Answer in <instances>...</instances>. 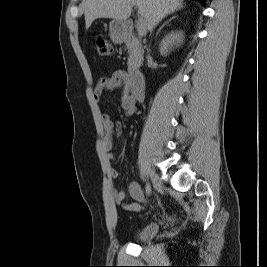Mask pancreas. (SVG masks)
Listing matches in <instances>:
<instances>
[{"mask_svg": "<svg viewBox=\"0 0 267 267\" xmlns=\"http://www.w3.org/2000/svg\"><path fill=\"white\" fill-rule=\"evenodd\" d=\"M125 43L129 53L128 63H127L128 73L132 74L134 71L138 69V67L142 63L143 49L139 39L134 35L129 36L126 39Z\"/></svg>", "mask_w": 267, "mask_h": 267, "instance_id": "pancreas-1", "label": "pancreas"}]
</instances>
